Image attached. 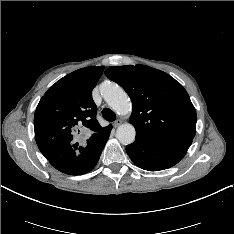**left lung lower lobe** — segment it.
<instances>
[{"label":"left lung lower lobe","mask_w":234,"mask_h":234,"mask_svg":"<svg viewBox=\"0 0 234 234\" xmlns=\"http://www.w3.org/2000/svg\"><path fill=\"white\" fill-rule=\"evenodd\" d=\"M192 140L176 137H136L135 142L126 147V151L138 167L158 171L177 164L186 154Z\"/></svg>","instance_id":"0a47b994"}]
</instances>
